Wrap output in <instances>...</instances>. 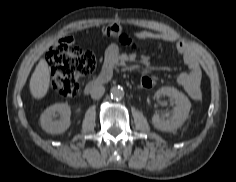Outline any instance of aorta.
<instances>
[{"mask_svg": "<svg viewBox=\"0 0 236 182\" xmlns=\"http://www.w3.org/2000/svg\"><path fill=\"white\" fill-rule=\"evenodd\" d=\"M111 97L114 99H122L124 97V90L120 86H113L110 90Z\"/></svg>", "mask_w": 236, "mask_h": 182, "instance_id": "1", "label": "aorta"}]
</instances>
